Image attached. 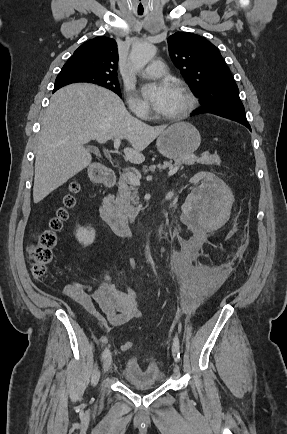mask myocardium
I'll list each match as a JSON object with an SVG mask.
<instances>
[{
  "instance_id": "f54148a6",
  "label": "myocardium",
  "mask_w": 287,
  "mask_h": 434,
  "mask_svg": "<svg viewBox=\"0 0 287 434\" xmlns=\"http://www.w3.org/2000/svg\"><path fill=\"white\" fill-rule=\"evenodd\" d=\"M175 87L184 95L186 105L182 111L174 115H160V118L167 121H180L189 116L196 106V98L191 89L182 82H175Z\"/></svg>"
}]
</instances>
